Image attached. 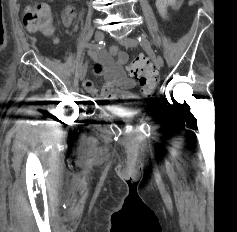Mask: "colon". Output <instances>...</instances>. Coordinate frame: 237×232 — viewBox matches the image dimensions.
<instances>
[{"mask_svg":"<svg viewBox=\"0 0 237 232\" xmlns=\"http://www.w3.org/2000/svg\"><path fill=\"white\" fill-rule=\"evenodd\" d=\"M174 0H156V8L163 19L169 16ZM25 26L31 33L50 36L53 33V15L46 3H35L27 7L24 15ZM131 76L138 78L144 90H152L158 82L156 66L149 59L139 54L129 65Z\"/></svg>","mask_w":237,"mask_h":232,"instance_id":"colon-1","label":"colon"}]
</instances>
